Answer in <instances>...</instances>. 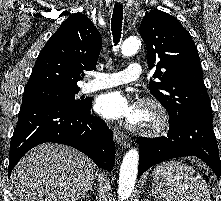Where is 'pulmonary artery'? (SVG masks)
<instances>
[{
  "instance_id": "e3ab8cb5",
  "label": "pulmonary artery",
  "mask_w": 221,
  "mask_h": 201,
  "mask_svg": "<svg viewBox=\"0 0 221 201\" xmlns=\"http://www.w3.org/2000/svg\"><path fill=\"white\" fill-rule=\"evenodd\" d=\"M94 77L92 81L82 87L84 93L136 81L142 77V68L138 63H132L123 71L95 73Z\"/></svg>"
}]
</instances>
